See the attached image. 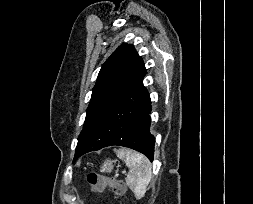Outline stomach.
Here are the masks:
<instances>
[{"mask_svg": "<svg viewBox=\"0 0 253 204\" xmlns=\"http://www.w3.org/2000/svg\"><path fill=\"white\" fill-rule=\"evenodd\" d=\"M113 170V161L111 160H106L101 166L100 171L102 173H110Z\"/></svg>", "mask_w": 253, "mask_h": 204, "instance_id": "obj_1", "label": "stomach"}]
</instances>
